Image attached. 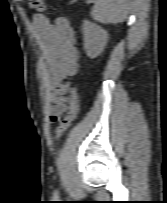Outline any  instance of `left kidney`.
Instances as JSON below:
<instances>
[{
	"label": "left kidney",
	"mask_w": 167,
	"mask_h": 203,
	"mask_svg": "<svg viewBox=\"0 0 167 203\" xmlns=\"http://www.w3.org/2000/svg\"><path fill=\"white\" fill-rule=\"evenodd\" d=\"M84 49L88 57L96 58L104 50L109 39L108 33L101 27L84 21L82 25Z\"/></svg>",
	"instance_id": "5707ae66"
}]
</instances>
